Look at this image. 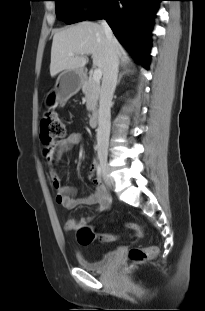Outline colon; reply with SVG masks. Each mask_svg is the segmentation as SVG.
Listing matches in <instances>:
<instances>
[{"label":"colon","instance_id":"obj_1","mask_svg":"<svg viewBox=\"0 0 205 311\" xmlns=\"http://www.w3.org/2000/svg\"><path fill=\"white\" fill-rule=\"evenodd\" d=\"M66 134V126L64 121L56 114L46 115L40 123V140L45 148L44 154L49 157V149L57 142L61 141ZM125 227L133 232L136 236H140L142 231L138 224L127 223ZM78 242L81 245H89L95 240L103 243L114 242L117 236L114 234L97 235L88 225H82L77 229ZM158 253L157 247L131 248L124 261L127 268L142 264L149 259L155 257Z\"/></svg>","mask_w":205,"mask_h":311}]
</instances>
